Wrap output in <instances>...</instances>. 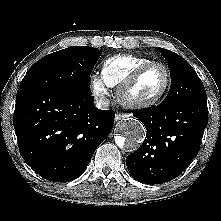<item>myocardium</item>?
<instances>
[{
	"label": "myocardium",
	"instance_id": "obj_1",
	"mask_svg": "<svg viewBox=\"0 0 221 221\" xmlns=\"http://www.w3.org/2000/svg\"><path fill=\"white\" fill-rule=\"evenodd\" d=\"M162 67L165 72V83L162 89L154 96L144 100H134L129 97L130 90L135 86L139 79L152 67ZM171 85V73L167 65L162 62L152 61L133 72L117 89V99L121 105L130 109H145L149 108L166 95Z\"/></svg>",
	"mask_w": 221,
	"mask_h": 221
}]
</instances>
